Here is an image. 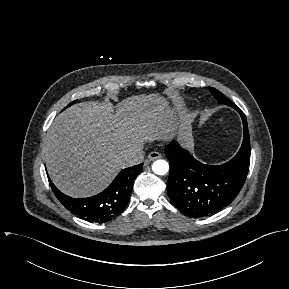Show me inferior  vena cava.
Segmentation results:
<instances>
[{
	"label": "inferior vena cava",
	"instance_id": "inferior-vena-cava-1",
	"mask_svg": "<svg viewBox=\"0 0 289 289\" xmlns=\"http://www.w3.org/2000/svg\"><path fill=\"white\" fill-rule=\"evenodd\" d=\"M143 159H144V151L143 150L130 153L124 158L127 166L137 165V164L141 163L143 161Z\"/></svg>",
	"mask_w": 289,
	"mask_h": 289
}]
</instances>
